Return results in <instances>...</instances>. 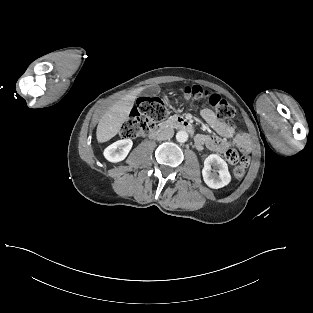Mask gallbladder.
<instances>
[{"instance_id":"bac80fb5","label":"gallbladder","mask_w":313,"mask_h":313,"mask_svg":"<svg viewBox=\"0 0 313 313\" xmlns=\"http://www.w3.org/2000/svg\"><path fill=\"white\" fill-rule=\"evenodd\" d=\"M156 90H157L156 86H152V87L148 88V91H156Z\"/></svg>"}]
</instances>
